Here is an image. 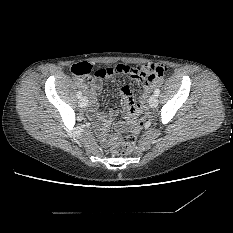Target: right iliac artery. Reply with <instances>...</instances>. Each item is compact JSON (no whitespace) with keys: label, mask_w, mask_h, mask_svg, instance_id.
Masks as SVG:
<instances>
[{"label":"right iliac artery","mask_w":233,"mask_h":233,"mask_svg":"<svg viewBox=\"0 0 233 233\" xmlns=\"http://www.w3.org/2000/svg\"><path fill=\"white\" fill-rule=\"evenodd\" d=\"M81 96H82L81 91H78V92H77V97H78V98H81Z\"/></svg>","instance_id":"1"}]
</instances>
